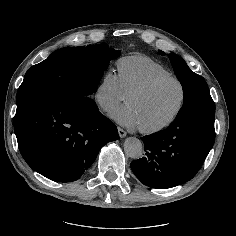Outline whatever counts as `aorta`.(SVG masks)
Returning <instances> with one entry per match:
<instances>
[{
	"mask_svg": "<svg viewBox=\"0 0 236 236\" xmlns=\"http://www.w3.org/2000/svg\"><path fill=\"white\" fill-rule=\"evenodd\" d=\"M124 152L131 158H139L143 154V145L138 138L129 137L124 142Z\"/></svg>",
	"mask_w": 236,
	"mask_h": 236,
	"instance_id": "762f6f07",
	"label": "aorta"
}]
</instances>
